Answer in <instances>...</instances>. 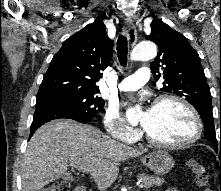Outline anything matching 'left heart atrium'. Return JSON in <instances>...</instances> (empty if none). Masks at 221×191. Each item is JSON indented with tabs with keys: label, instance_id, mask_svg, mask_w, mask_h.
Returning a JSON list of instances; mask_svg holds the SVG:
<instances>
[{
	"label": "left heart atrium",
	"instance_id": "1",
	"mask_svg": "<svg viewBox=\"0 0 221 191\" xmlns=\"http://www.w3.org/2000/svg\"><path fill=\"white\" fill-rule=\"evenodd\" d=\"M150 111H151V109H147L144 114H145V115H149Z\"/></svg>",
	"mask_w": 221,
	"mask_h": 191
}]
</instances>
